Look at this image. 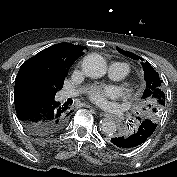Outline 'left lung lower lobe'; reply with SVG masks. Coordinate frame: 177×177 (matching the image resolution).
Masks as SVG:
<instances>
[{"mask_svg":"<svg viewBox=\"0 0 177 177\" xmlns=\"http://www.w3.org/2000/svg\"><path fill=\"white\" fill-rule=\"evenodd\" d=\"M157 123L150 119L140 121L130 134L111 138V142L121 149H133L143 144L155 131Z\"/></svg>","mask_w":177,"mask_h":177,"instance_id":"0a47b994","label":"left lung lower lobe"}]
</instances>
